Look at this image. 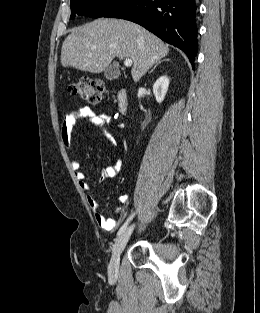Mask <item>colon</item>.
<instances>
[{
	"label": "colon",
	"instance_id": "colon-1",
	"mask_svg": "<svg viewBox=\"0 0 260 313\" xmlns=\"http://www.w3.org/2000/svg\"><path fill=\"white\" fill-rule=\"evenodd\" d=\"M68 92L90 103L97 104L103 99L105 86L101 82L83 77L71 82L68 86Z\"/></svg>",
	"mask_w": 260,
	"mask_h": 313
}]
</instances>
